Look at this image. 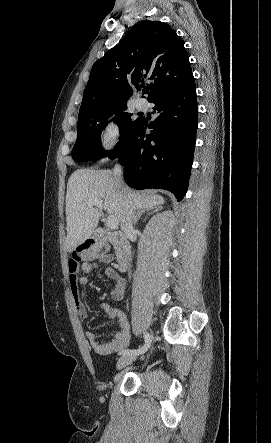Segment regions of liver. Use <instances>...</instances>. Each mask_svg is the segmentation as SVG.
<instances>
[{"instance_id":"liver-1","label":"liver","mask_w":271,"mask_h":443,"mask_svg":"<svg viewBox=\"0 0 271 443\" xmlns=\"http://www.w3.org/2000/svg\"><path fill=\"white\" fill-rule=\"evenodd\" d=\"M130 202L134 208H149L165 204L164 198L158 194H140L136 190H129ZM102 200L103 208L114 216L118 222L123 220L125 202L122 194L115 188L113 172L110 170H76L67 182L66 192V249L73 251L77 245L84 243L91 237L97 227L100 210L90 208L89 202Z\"/></svg>"}]
</instances>
